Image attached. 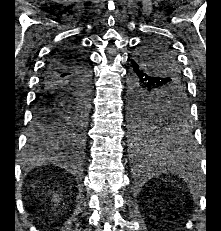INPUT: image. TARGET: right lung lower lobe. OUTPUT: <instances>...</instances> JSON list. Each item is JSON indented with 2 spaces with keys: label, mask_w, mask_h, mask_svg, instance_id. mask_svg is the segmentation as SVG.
<instances>
[{
  "label": "right lung lower lobe",
  "mask_w": 221,
  "mask_h": 231,
  "mask_svg": "<svg viewBox=\"0 0 221 231\" xmlns=\"http://www.w3.org/2000/svg\"><path fill=\"white\" fill-rule=\"evenodd\" d=\"M58 50L47 62L41 78L28 144L31 152H52L70 142L60 125L59 136L44 137L58 126L56 115L71 97L90 99L91 69L87 58L76 49ZM81 152V146L74 145Z\"/></svg>",
  "instance_id": "obj_1"
}]
</instances>
